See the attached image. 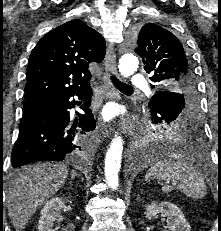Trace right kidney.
<instances>
[{
	"label": "right kidney",
	"instance_id": "right-kidney-1",
	"mask_svg": "<svg viewBox=\"0 0 221 231\" xmlns=\"http://www.w3.org/2000/svg\"><path fill=\"white\" fill-rule=\"evenodd\" d=\"M64 202L62 198L54 197L44 205L41 210L38 231H55L53 229L54 222L60 219V211L64 206Z\"/></svg>",
	"mask_w": 221,
	"mask_h": 231
}]
</instances>
